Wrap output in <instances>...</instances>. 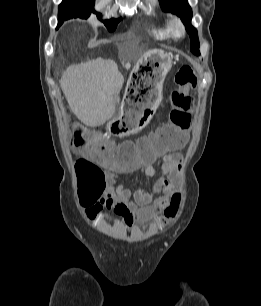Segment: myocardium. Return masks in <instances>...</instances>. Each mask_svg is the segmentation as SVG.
<instances>
[{
  "label": "myocardium",
  "instance_id": "obj_1",
  "mask_svg": "<svg viewBox=\"0 0 261 306\" xmlns=\"http://www.w3.org/2000/svg\"><path fill=\"white\" fill-rule=\"evenodd\" d=\"M171 34L176 38H181L185 35V27L180 19L175 18L171 22Z\"/></svg>",
  "mask_w": 261,
  "mask_h": 306
}]
</instances>
